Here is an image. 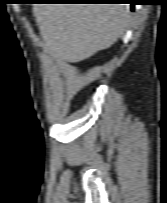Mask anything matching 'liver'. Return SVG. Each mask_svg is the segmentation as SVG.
Segmentation results:
<instances>
[{
    "label": "liver",
    "mask_w": 167,
    "mask_h": 203,
    "mask_svg": "<svg viewBox=\"0 0 167 203\" xmlns=\"http://www.w3.org/2000/svg\"><path fill=\"white\" fill-rule=\"evenodd\" d=\"M34 15L49 51L72 63L113 45L129 23V7L37 4Z\"/></svg>",
    "instance_id": "1"
}]
</instances>
